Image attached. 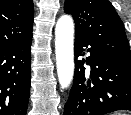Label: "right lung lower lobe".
Here are the masks:
<instances>
[{"instance_id":"right-lung-lower-lobe-1","label":"right lung lower lobe","mask_w":131,"mask_h":115,"mask_svg":"<svg viewBox=\"0 0 131 115\" xmlns=\"http://www.w3.org/2000/svg\"><path fill=\"white\" fill-rule=\"evenodd\" d=\"M31 42L0 50V115H26L30 93Z\"/></svg>"}]
</instances>
